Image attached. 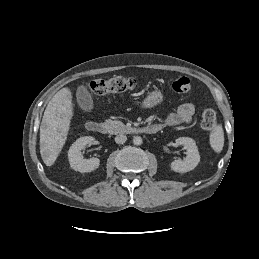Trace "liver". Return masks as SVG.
Wrapping results in <instances>:
<instances>
[{"instance_id":"1","label":"liver","mask_w":259,"mask_h":259,"mask_svg":"<svg viewBox=\"0 0 259 259\" xmlns=\"http://www.w3.org/2000/svg\"><path fill=\"white\" fill-rule=\"evenodd\" d=\"M72 117V93L68 87H64L49 101L40 126V154L46 166H52L59 156Z\"/></svg>"}]
</instances>
